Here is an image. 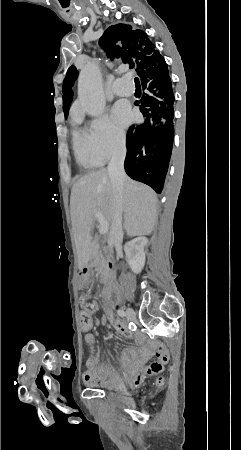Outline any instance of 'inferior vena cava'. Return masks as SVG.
<instances>
[{
    "label": "inferior vena cava",
    "instance_id": "inferior-vena-cava-1",
    "mask_svg": "<svg viewBox=\"0 0 241 450\" xmlns=\"http://www.w3.org/2000/svg\"><path fill=\"white\" fill-rule=\"evenodd\" d=\"M126 136H123L121 144L112 156L108 166L107 172L111 180L113 194H114V214L113 222L110 226V234L108 246H114L116 240L121 242L123 238L122 216H123V186L125 180L124 160L126 158Z\"/></svg>",
    "mask_w": 241,
    "mask_h": 450
}]
</instances>
